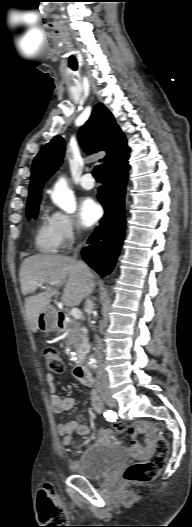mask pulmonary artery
<instances>
[{
  "label": "pulmonary artery",
  "mask_w": 192,
  "mask_h": 527,
  "mask_svg": "<svg viewBox=\"0 0 192 527\" xmlns=\"http://www.w3.org/2000/svg\"><path fill=\"white\" fill-rule=\"evenodd\" d=\"M80 185L86 190L94 188L95 182L92 175L90 173L84 174L80 179Z\"/></svg>",
  "instance_id": "obj_1"
}]
</instances>
